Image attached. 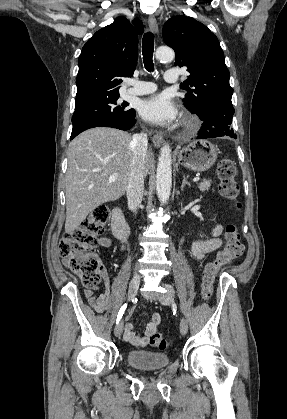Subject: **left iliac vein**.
I'll use <instances>...</instances> for the list:
<instances>
[{
    "label": "left iliac vein",
    "instance_id": "1",
    "mask_svg": "<svg viewBox=\"0 0 287 419\" xmlns=\"http://www.w3.org/2000/svg\"><path fill=\"white\" fill-rule=\"evenodd\" d=\"M164 287L166 288V293L162 294L159 297V301L163 305H172L174 302V290L168 284H164ZM187 331H188V322L185 318H182L180 321V332L182 335H185Z\"/></svg>",
    "mask_w": 287,
    "mask_h": 419
}]
</instances>
